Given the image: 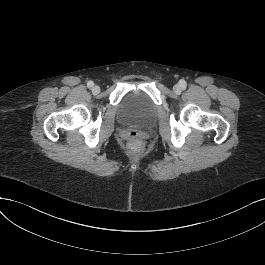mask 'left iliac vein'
Wrapping results in <instances>:
<instances>
[{
	"instance_id": "obj_1",
	"label": "left iliac vein",
	"mask_w": 265,
	"mask_h": 265,
	"mask_svg": "<svg viewBox=\"0 0 265 265\" xmlns=\"http://www.w3.org/2000/svg\"><path fill=\"white\" fill-rule=\"evenodd\" d=\"M173 90H174V92L175 93H177V94H179V93H181V86L180 85H178V84H176L174 87H173Z\"/></svg>"
}]
</instances>
